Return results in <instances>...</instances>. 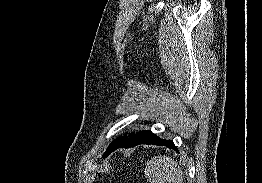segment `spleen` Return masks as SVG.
Listing matches in <instances>:
<instances>
[{"mask_svg":"<svg viewBox=\"0 0 262 183\" xmlns=\"http://www.w3.org/2000/svg\"><path fill=\"white\" fill-rule=\"evenodd\" d=\"M145 177L150 183H183V171L167 156H155L145 167Z\"/></svg>","mask_w":262,"mask_h":183,"instance_id":"1","label":"spleen"}]
</instances>
